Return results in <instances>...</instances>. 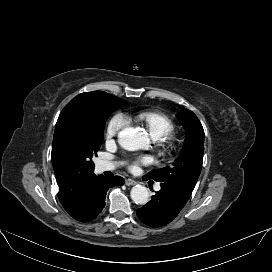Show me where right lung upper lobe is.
<instances>
[{
  "mask_svg": "<svg viewBox=\"0 0 272 272\" xmlns=\"http://www.w3.org/2000/svg\"><path fill=\"white\" fill-rule=\"evenodd\" d=\"M84 93L73 98L65 107L68 109L81 100ZM52 163L59 185V198L67 212L73 211L80 204L82 197L95 176L94 170L78 171L72 161L60 148L54 133L52 145Z\"/></svg>",
  "mask_w": 272,
  "mask_h": 272,
  "instance_id": "obj_1",
  "label": "right lung upper lobe"
}]
</instances>
